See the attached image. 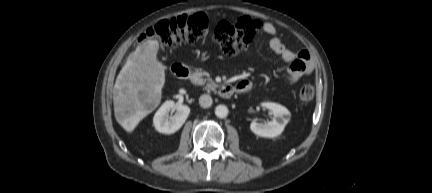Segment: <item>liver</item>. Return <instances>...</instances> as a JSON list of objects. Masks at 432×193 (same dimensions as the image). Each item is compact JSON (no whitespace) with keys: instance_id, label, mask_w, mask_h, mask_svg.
Returning a JSON list of instances; mask_svg holds the SVG:
<instances>
[{"instance_id":"liver-1","label":"liver","mask_w":432,"mask_h":193,"mask_svg":"<svg viewBox=\"0 0 432 193\" xmlns=\"http://www.w3.org/2000/svg\"><path fill=\"white\" fill-rule=\"evenodd\" d=\"M158 49L157 40L143 42L117 76L113 90L115 118L127 132L160 104L165 66L157 59Z\"/></svg>"}]
</instances>
